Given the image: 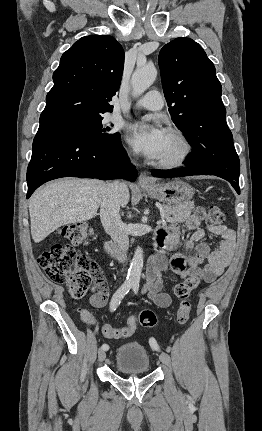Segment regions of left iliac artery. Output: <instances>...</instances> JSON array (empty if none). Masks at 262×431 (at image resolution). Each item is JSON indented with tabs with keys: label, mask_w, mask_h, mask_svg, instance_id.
Instances as JSON below:
<instances>
[{
	"label": "left iliac artery",
	"mask_w": 262,
	"mask_h": 431,
	"mask_svg": "<svg viewBox=\"0 0 262 431\" xmlns=\"http://www.w3.org/2000/svg\"><path fill=\"white\" fill-rule=\"evenodd\" d=\"M132 287H133V291H134V292H138V289H139V283H138V282H134ZM150 342H151V341H150ZM151 344H152L153 346H155L156 348H158V347H157V343H156V341L151 342Z\"/></svg>",
	"instance_id": "left-iliac-artery-1"
}]
</instances>
